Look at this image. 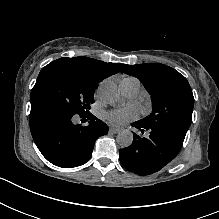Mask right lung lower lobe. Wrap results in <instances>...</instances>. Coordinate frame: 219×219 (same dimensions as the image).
Listing matches in <instances>:
<instances>
[{"mask_svg":"<svg viewBox=\"0 0 219 219\" xmlns=\"http://www.w3.org/2000/svg\"><path fill=\"white\" fill-rule=\"evenodd\" d=\"M79 116L88 118L87 126L75 125L78 116L56 105L31 104L29 124L33 140L52 164L62 168L83 165L90 159L96 139L108 133V126L92 114Z\"/></svg>","mask_w":219,"mask_h":219,"instance_id":"right-lung-lower-lobe-1","label":"right lung lower lobe"}]
</instances>
